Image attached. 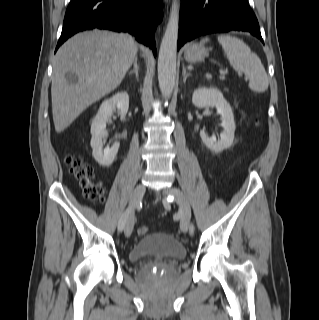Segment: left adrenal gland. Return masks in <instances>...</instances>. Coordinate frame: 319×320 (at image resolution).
<instances>
[{"mask_svg": "<svg viewBox=\"0 0 319 320\" xmlns=\"http://www.w3.org/2000/svg\"><path fill=\"white\" fill-rule=\"evenodd\" d=\"M182 74H183V82L186 83V79H187L188 76L191 75V73L187 72L186 68L183 67Z\"/></svg>", "mask_w": 319, "mask_h": 320, "instance_id": "1", "label": "left adrenal gland"}]
</instances>
